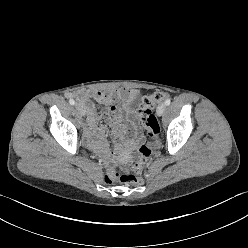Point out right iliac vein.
Wrapping results in <instances>:
<instances>
[{
  "label": "right iliac vein",
  "instance_id": "1",
  "mask_svg": "<svg viewBox=\"0 0 248 248\" xmlns=\"http://www.w3.org/2000/svg\"><path fill=\"white\" fill-rule=\"evenodd\" d=\"M75 108L78 110V112L81 115L85 116V114H86V108H85V106H84L83 103H80V102L76 103L75 104Z\"/></svg>",
  "mask_w": 248,
  "mask_h": 248
}]
</instances>
